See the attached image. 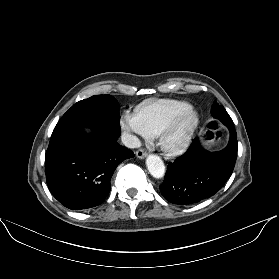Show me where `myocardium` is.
I'll return each mask as SVG.
<instances>
[{
	"instance_id": "1",
	"label": "myocardium",
	"mask_w": 279,
	"mask_h": 279,
	"mask_svg": "<svg viewBox=\"0 0 279 279\" xmlns=\"http://www.w3.org/2000/svg\"><path fill=\"white\" fill-rule=\"evenodd\" d=\"M187 117H191V123L185 130L181 139L176 143H171L170 137L172 136L178 125ZM198 125L199 116L192 107L179 112L159 132L157 136L159 147L164 153L171 156L178 155L184 152L188 148Z\"/></svg>"
}]
</instances>
